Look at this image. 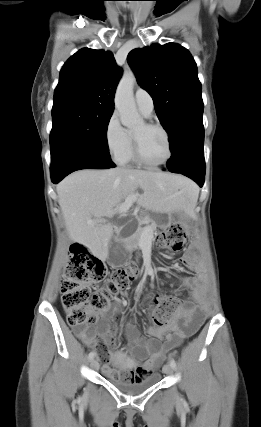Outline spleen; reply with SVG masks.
<instances>
[{"instance_id": "obj_1", "label": "spleen", "mask_w": 261, "mask_h": 427, "mask_svg": "<svg viewBox=\"0 0 261 427\" xmlns=\"http://www.w3.org/2000/svg\"><path fill=\"white\" fill-rule=\"evenodd\" d=\"M198 193H199V191H198V189H197V188H196V190H194L193 192H191L192 198H193L195 201H197Z\"/></svg>"}]
</instances>
